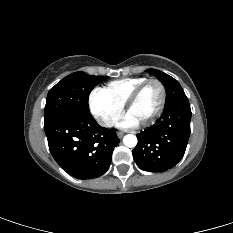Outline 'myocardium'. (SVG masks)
<instances>
[{"instance_id": "1", "label": "myocardium", "mask_w": 233, "mask_h": 233, "mask_svg": "<svg viewBox=\"0 0 233 233\" xmlns=\"http://www.w3.org/2000/svg\"><path fill=\"white\" fill-rule=\"evenodd\" d=\"M151 83H155L160 87L161 90V101L159 104V107L157 108V110L154 112V114H152L148 119L139 122V125L141 126H149L152 123H154L159 116L162 114L164 108H165V104H166V88L165 85L158 79H148L146 81H144L143 83H141L140 85H138L133 92L130 94V96L128 97L126 103H125V111L128 114L130 108L133 106V104L136 102V100L138 99V97L140 96L141 92L145 89L146 86H148Z\"/></svg>"}]
</instances>
